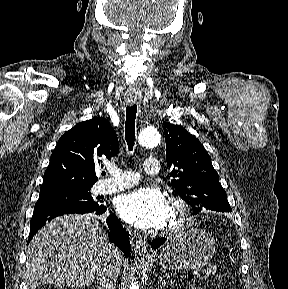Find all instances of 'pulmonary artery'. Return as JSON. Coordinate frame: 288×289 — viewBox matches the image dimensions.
<instances>
[{"mask_svg": "<svg viewBox=\"0 0 288 289\" xmlns=\"http://www.w3.org/2000/svg\"><path fill=\"white\" fill-rule=\"evenodd\" d=\"M160 163L155 157L147 158L144 162V172L150 176L159 174ZM139 181V174L132 171L116 170L112 177L97 185L98 194L115 193L135 185Z\"/></svg>", "mask_w": 288, "mask_h": 289, "instance_id": "pulmonary-artery-1", "label": "pulmonary artery"}]
</instances>
